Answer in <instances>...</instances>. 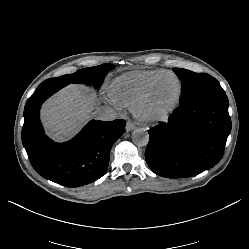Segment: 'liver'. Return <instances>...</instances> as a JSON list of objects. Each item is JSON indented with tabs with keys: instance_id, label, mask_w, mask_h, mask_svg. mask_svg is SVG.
Returning a JSON list of instances; mask_svg holds the SVG:
<instances>
[{
	"instance_id": "6515ba94",
	"label": "liver",
	"mask_w": 249,
	"mask_h": 249,
	"mask_svg": "<svg viewBox=\"0 0 249 249\" xmlns=\"http://www.w3.org/2000/svg\"><path fill=\"white\" fill-rule=\"evenodd\" d=\"M96 96L89 87L71 84L49 98L41 108L47 135L59 142L70 138L91 118Z\"/></svg>"
}]
</instances>
